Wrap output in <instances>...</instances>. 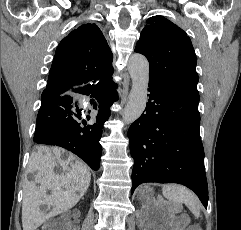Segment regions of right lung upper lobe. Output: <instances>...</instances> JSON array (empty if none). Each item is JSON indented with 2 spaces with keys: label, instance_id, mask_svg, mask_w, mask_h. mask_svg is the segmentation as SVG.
I'll return each instance as SVG.
<instances>
[{
  "label": "right lung upper lobe",
  "instance_id": "right-lung-upper-lobe-1",
  "mask_svg": "<svg viewBox=\"0 0 241 230\" xmlns=\"http://www.w3.org/2000/svg\"><path fill=\"white\" fill-rule=\"evenodd\" d=\"M113 55L96 24H84L58 45L44 92L59 95L67 88L112 80Z\"/></svg>",
  "mask_w": 241,
  "mask_h": 230
}]
</instances>
